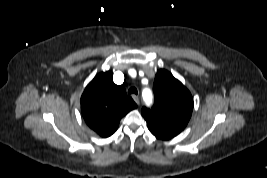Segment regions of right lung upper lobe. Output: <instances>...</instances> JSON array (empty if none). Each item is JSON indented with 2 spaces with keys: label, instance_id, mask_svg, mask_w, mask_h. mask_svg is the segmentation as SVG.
<instances>
[{
  "label": "right lung upper lobe",
  "instance_id": "1",
  "mask_svg": "<svg viewBox=\"0 0 267 178\" xmlns=\"http://www.w3.org/2000/svg\"><path fill=\"white\" fill-rule=\"evenodd\" d=\"M136 107L124 86L113 82L109 71L96 75L81 97V112L86 124L104 138L111 136L121 118Z\"/></svg>",
  "mask_w": 267,
  "mask_h": 178
}]
</instances>
